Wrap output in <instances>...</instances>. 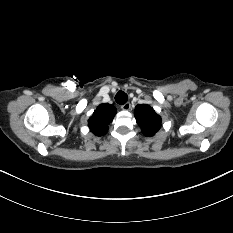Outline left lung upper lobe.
Masks as SVG:
<instances>
[{"instance_id": "obj_1", "label": "left lung upper lobe", "mask_w": 233, "mask_h": 233, "mask_svg": "<svg viewBox=\"0 0 233 233\" xmlns=\"http://www.w3.org/2000/svg\"><path fill=\"white\" fill-rule=\"evenodd\" d=\"M135 118L145 136H153L161 127V117L147 104L135 107Z\"/></svg>"}]
</instances>
